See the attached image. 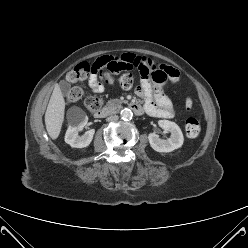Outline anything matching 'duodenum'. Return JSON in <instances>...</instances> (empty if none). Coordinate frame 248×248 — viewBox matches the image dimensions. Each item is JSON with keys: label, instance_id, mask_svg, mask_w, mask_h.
Instances as JSON below:
<instances>
[{"label": "duodenum", "instance_id": "duodenum-1", "mask_svg": "<svg viewBox=\"0 0 248 248\" xmlns=\"http://www.w3.org/2000/svg\"><path fill=\"white\" fill-rule=\"evenodd\" d=\"M129 107L131 108V110H133L136 114H141L143 112L142 107L139 104L136 103H130ZM109 114V110L106 108H102L99 111H97L95 113V117L96 118H104Z\"/></svg>", "mask_w": 248, "mask_h": 248}]
</instances>
